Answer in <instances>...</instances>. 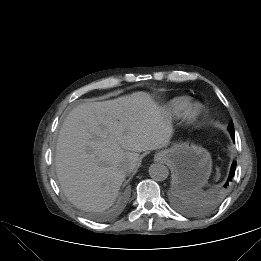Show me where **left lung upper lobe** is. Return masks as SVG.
Masks as SVG:
<instances>
[{"mask_svg": "<svg viewBox=\"0 0 261 261\" xmlns=\"http://www.w3.org/2000/svg\"><path fill=\"white\" fill-rule=\"evenodd\" d=\"M234 130L233 122L231 121L230 124L228 125V130ZM226 187V186H224Z\"/></svg>", "mask_w": 261, "mask_h": 261, "instance_id": "5c2ea615", "label": "left lung upper lobe"}]
</instances>
